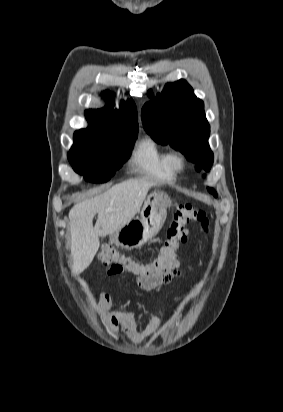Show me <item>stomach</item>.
<instances>
[{
  "label": "stomach",
  "mask_w": 283,
  "mask_h": 412,
  "mask_svg": "<svg viewBox=\"0 0 283 412\" xmlns=\"http://www.w3.org/2000/svg\"><path fill=\"white\" fill-rule=\"evenodd\" d=\"M171 199L163 192L150 194L144 202L140 217L128 222L111 235V241L118 247L139 248L151 240L160 231L167 216Z\"/></svg>",
  "instance_id": "obj_1"
}]
</instances>
